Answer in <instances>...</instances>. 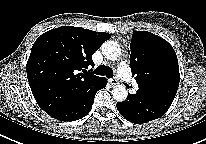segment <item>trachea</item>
<instances>
[{"instance_id": "1", "label": "trachea", "mask_w": 206, "mask_h": 144, "mask_svg": "<svg viewBox=\"0 0 206 144\" xmlns=\"http://www.w3.org/2000/svg\"><path fill=\"white\" fill-rule=\"evenodd\" d=\"M94 73L96 75H102L106 76L107 78H112L113 77V70L110 67H107L105 65H100L98 66L95 70Z\"/></svg>"}]
</instances>
